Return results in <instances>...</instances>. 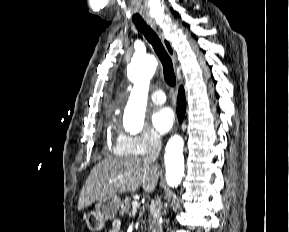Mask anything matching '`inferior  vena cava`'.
<instances>
[{
    "mask_svg": "<svg viewBox=\"0 0 289 232\" xmlns=\"http://www.w3.org/2000/svg\"><path fill=\"white\" fill-rule=\"evenodd\" d=\"M161 150V138L157 134L151 136L149 154L144 158L146 162H155ZM162 202L159 196L152 199L149 215V232H163L161 223Z\"/></svg>",
    "mask_w": 289,
    "mask_h": 232,
    "instance_id": "inferior-vena-cava-1",
    "label": "inferior vena cava"
}]
</instances>
